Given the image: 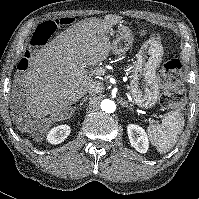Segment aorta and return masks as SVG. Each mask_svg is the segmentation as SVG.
Listing matches in <instances>:
<instances>
[{"mask_svg":"<svg viewBox=\"0 0 199 199\" xmlns=\"http://www.w3.org/2000/svg\"><path fill=\"white\" fill-rule=\"evenodd\" d=\"M100 108L102 111H105L106 113H113L116 109V105L114 101L110 99H104L101 102Z\"/></svg>","mask_w":199,"mask_h":199,"instance_id":"762f6f07","label":"aorta"}]
</instances>
